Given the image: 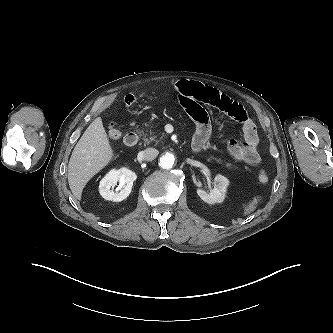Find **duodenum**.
I'll use <instances>...</instances> for the list:
<instances>
[{
	"mask_svg": "<svg viewBox=\"0 0 333 333\" xmlns=\"http://www.w3.org/2000/svg\"><path fill=\"white\" fill-rule=\"evenodd\" d=\"M139 140V136L136 132H129L125 135L124 137V143L128 146V147H133L138 143Z\"/></svg>",
	"mask_w": 333,
	"mask_h": 333,
	"instance_id": "410a0bca",
	"label": "duodenum"
}]
</instances>
